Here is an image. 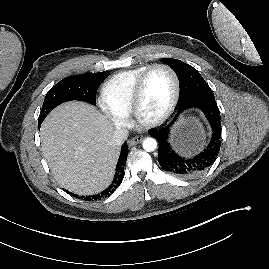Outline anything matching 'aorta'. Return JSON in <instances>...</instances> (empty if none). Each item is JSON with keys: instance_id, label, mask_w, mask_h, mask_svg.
Masks as SVG:
<instances>
[{"instance_id": "obj_1", "label": "aorta", "mask_w": 269, "mask_h": 269, "mask_svg": "<svg viewBox=\"0 0 269 269\" xmlns=\"http://www.w3.org/2000/svg\"><path fill=\"white\" fill-rule=\"evenodd\" d=\"M143 149L147 152H153L157 148V141L152 137H147L144 139Z\"/></svg>"}]
</instances>
